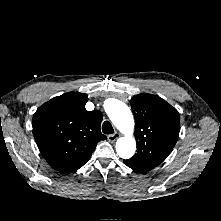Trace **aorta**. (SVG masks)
<instances>
[{"label": "aorta", "mask_w": 221, "mask_h": 221, "mask_svg": "<svg viewBox=\"0 0 221 221\" xmlns=\"http://www.w3.org/2000/svg\"><path fill=\"white\" fill-rule=\"evenodd\" d=\"M107 114L115 127L124 134L116 142L117 154L123 159L131 158L136 151V141L133 137L134 118L131 110L125 103L113 100Z\"/></svg>", "instance_id": "obj_1"}]
</instances>
